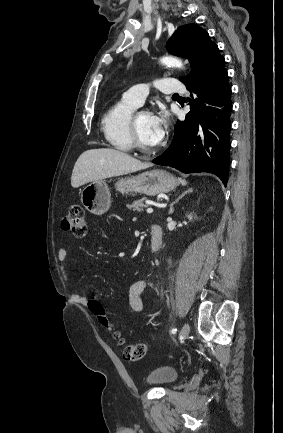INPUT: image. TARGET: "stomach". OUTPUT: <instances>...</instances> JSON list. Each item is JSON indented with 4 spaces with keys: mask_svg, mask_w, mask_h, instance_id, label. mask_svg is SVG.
Instances as JSON below:
<instances>
[{
    "mask_svg": "<svg viewBox=\"0 0 283 433\" xmlns=\"http://www.w3.org/2000/svg\"><path fill=\"white\" fill-rule=\"evenodd\" d=\"M178 182L167 170H148L137 176H125L117 180L115 186L119 192H143V194H159L169 192ZM81 202L89 212L103 214L111 204L110 190L105 180H92L81 192Z\"/></svg>",
    "mask_w": 283,
    "mask_h": 433,
    "instance_id": "stomach-1",
    "label": "stomach"
}]
</instances>
